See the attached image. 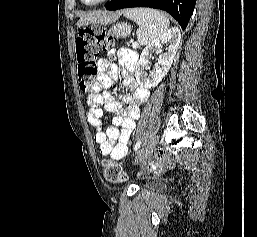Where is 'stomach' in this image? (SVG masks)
Listing matches in <instances>:
<instances>
[{"label":"stomach","instance_id":"0dacf381","mask_svg":"<svg viewBox=\"0 0 257 237\" xmlns=\"http://www.w3.org/2000/svg\"><path fill=\"white\" fill-rule=\"evenodd\" d=\"M111 33L116 38H126L131 33V26L125 22L116 23L111 28Z\"/></svg>","mask_w":257,"mask_h":237}]
</instances>
